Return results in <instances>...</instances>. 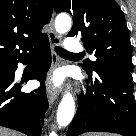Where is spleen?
I'll use <instances>...</instances> for the list:
<instances>
[{
  "instance_id": "1",
  "label": "spleen",
  "mask_w": 136,
  "mask_h": 136,
  "mask_svg": "<svg viewBox=\"0 0 136 136\" xmlns=\"http://www.w3.org/2000/svg\"><path fill=\"white\" fill-rule=\"evenodd\" d=\"M86 136H116V135L88 134Z\"/></svg>"
}]
</instances>
